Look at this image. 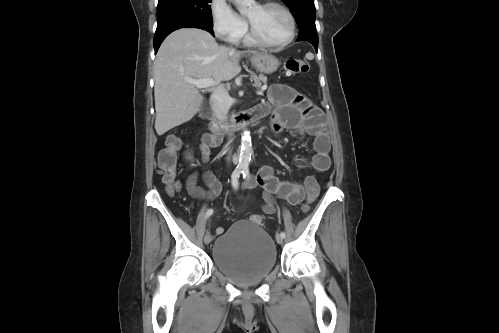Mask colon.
Here are the masks:
<instances>
[{
	"mask_svg": "<svg viewBox=\"0 0 499 333\" xmlns=\"http://www.w3.org/2000/svg\"><path fill=\"white\" fill-rule=\"evenodd\" d=\"M285 69L289 74L305 73L309 69V65L300 59H289L285 64ZM181 146L180 139L172 135L166 141V147L159 154V173L162 177V182L166 185L170 193L175 192L179 185L176 180L177 169V152ZM304 190L306 193V204L304 209L307 210L308 205L314 202L319 195V184L314 176H308L304 180ZM249 220L263 225V220L259 215L249 216Z\"/></svg>",
	"mask_w": 499,
	"mask_h": 333,
	"instance_id": "5ec220e1",
	"label": "colon"
}]
</instances>
